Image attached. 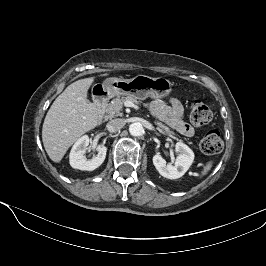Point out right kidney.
<instances>
[{"label":"right kidney","mask_w":266,"mask_h":266,"mask_svg":"<svg viewBox=\"0 0 266 266\" xmlns=\"http://www.w3.org/2000/svg\"><path fill=\"white\" fill-rule=\"evenodd\" d=\"M88 145L89 137L87 135L82 136L75 142L69 156L72 168L83 171H93L104 162L107 148L104 145L96 146L94 149L97 151V155L87 160L84 154L86 153Z\"/></svg>","instance_id":"1"}]
</instances>
